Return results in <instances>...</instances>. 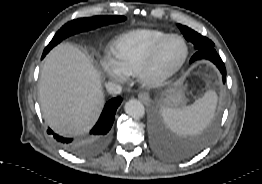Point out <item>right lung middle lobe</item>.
Wrapping results in <instances>:
<instances>
[{
    "label": "right lung middle lobe",
    "instance_id": "obj_1",
    "mask_svg": "<svg viewBox=\"0 0 262 184\" xmlns=\"http://www.w3.org/2000/svg\"><path fill=\"white\" fill-rule=\"evenodd\" d=\"M126 20L124 16H108V15H102V16H94V17H88V18H80L76 20H72L62 26V28L55 34L51 42L48 44V46L44 49L43 57L58 43H60L63 39L67 38L70 35L82 32V31H88L91 29H95L97 27L121 22Z\"/></svg>",
    "mask_w": 262,
    "mask_h": 184
}]
</instances>
